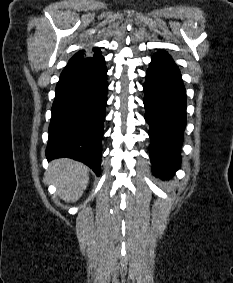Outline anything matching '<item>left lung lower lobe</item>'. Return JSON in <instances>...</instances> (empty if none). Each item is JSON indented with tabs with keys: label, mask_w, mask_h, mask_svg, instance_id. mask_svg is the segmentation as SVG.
Wrapping results in <instances>:
<instances>
[{
	"label": "left lung lower lobe",
	"mask_w": 233,
	"mask_h": 283,
	"mask_svg": "<svg viewBox=\"0 0 233 283\" xmlns=\"http://www.w3.org/2000/svg\"><path fill=\"white\" fill-rule=\"evenodd\" d=\"M145 120L150 125L153 173L169 178L180 168V147L186 125V91L171 56L159 51L152 57L143 85Z\"/></svg>",
	"instance_id": "left-lung-lower-lobe-1"
}]
</instances>
